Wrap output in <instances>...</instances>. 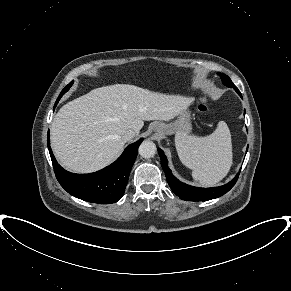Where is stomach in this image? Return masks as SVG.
<instances>
[{"mask_svg":"<svg viewBox=\"0 0 291 291\" xmlns=\"http://www.w3.org/2000/svg\"><path fill=\"white\" fill-rule=\"evenodd\" d=\"M164 134L183 133L188 134L191 130L190 112L185 109L179 114L176 121L170 124H162Z\"/></svg>","mask_w":291,"mask_h":291,"instance_id":"obj_1","label":"stomach"}]
</instances>
